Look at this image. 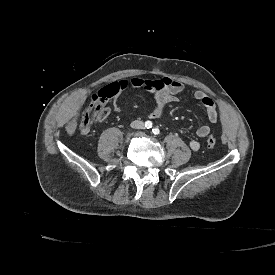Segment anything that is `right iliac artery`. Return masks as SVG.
Returning <instances> with one entry per match:
<instances>
[{"label":"right iliac artery","instance_id":"82829eb1","mask_svg":"<svg viewBox=\"0 0 275 275\" xmlns=\"http://www.w3.org/2000/svg\"><path fill=\"white\" fill-rule=\"evenodd\" d=\"M145 127H146L147 129L151 128V127H152V122H151V121H146V122H145Z\"/></svg>","mask_w":275,"mask_h":275}]
</instances>
